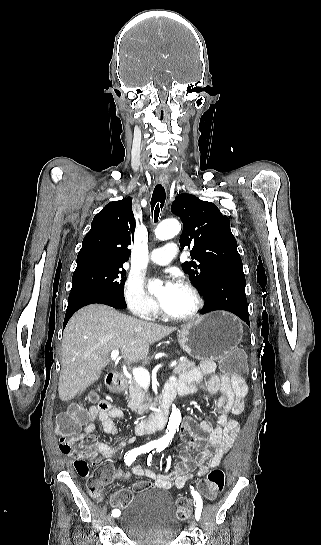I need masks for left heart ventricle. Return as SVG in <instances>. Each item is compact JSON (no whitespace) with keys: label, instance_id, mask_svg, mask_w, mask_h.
Returning a JSON list of instances; mask_svg holds the SVG:
<instances>
[{"label":"left heart ventricle","instance_id":"left-heart-ventricle-1","mask_svg":"<svg viewBox=\"0 0 321 545\" xmlns=\"http://www.w3.org/2000/svg\"><path fill=\"white\" fill-rule=\"evenodd\" d=\"M194 306L195 299L192 294L179 287L170 304L164 310L170 314L186 315L194 309Z\"/></svg>","mask_w":321,"mask_h":545}]
</instances>
